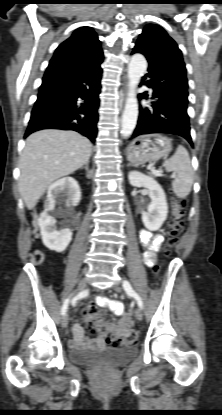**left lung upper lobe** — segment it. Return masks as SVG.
Masks as SVG:
<instances>
[{
	"mask_svg": "<svg viewBox=\"0 0 222 415\" xmlns=\"http://www.w3.org/2000/svg\"><path fill=\"white\" fill-rule=\"evenodd\" d=\"M136 45L142 47L150 55L167 56L183 61L182 53L176 42L158 25H147Z\"/></svg>",
	"mask_w": 222,
	"mask_h": 415,
	"instance_id": "5c2ea615",
	"label": "left lung upper lobe"
}]
</instances>
